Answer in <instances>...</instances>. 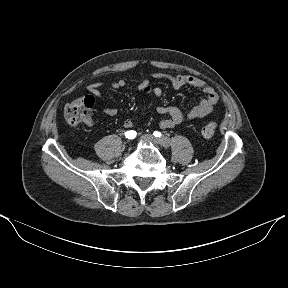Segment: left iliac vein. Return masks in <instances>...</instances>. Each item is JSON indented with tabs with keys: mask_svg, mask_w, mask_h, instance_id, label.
Here are the masks:
<instances>
[{
	"mask_svg": "<svg viewBox=\"0 0 288 288\" xmlns=\"http://www.w3.org/2000/svg\"><path fill=\"white\" fill-rule=\"evenodd\" d=\"M142 139L144 141H147V142L160 144V145H162L164 147H168L169 146V140L168 139H166V138H162V139L155 138L152 134H146V135L142 136Z\"/></svg>",
	"mask_w": 288,
	"mask_h": 288,
	"instance_id": "obj_1",
	"label": "left iliac vein"
}]
</instances>
